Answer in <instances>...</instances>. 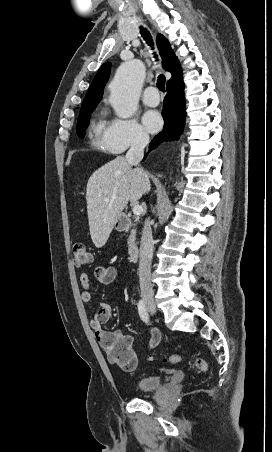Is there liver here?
<instances>
[{
  "label": "liver",
  "instance_id": "6515ba94",
  "mask_svg": "<svg viewBox=\"0 0 272 452\" xmlns=\"http://www.w3.org/2000/svg\"><path fill=\"white\" fill-rule=\"evenodd\" d=\"M86 190L91 239L101 248L128 201L137 202L150 190V181L142 169L132 168L124 156H117L91 175Z\"/></svg>",
  "mask_w": 272,
  "mask_h": 452
}]
</instances>
